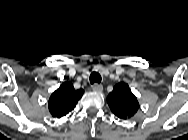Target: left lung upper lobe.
Returning <instances> with one entry per match:
<instances>
[{
	"label": "left lung upper lobe",
	"instance_id": "left-lung-upper-lobe-1",
	"mask_svg": "<svg viewBox=\"0 0 188 140\" xmlns=\"http://www.w3.org/2000/svg\"><path fill=\"white\" fill-rule=\"evenodd\" d=\"M107 102L112 112L121 119L131 118L139 109L137 98L126 83H118L108 95Z\"/></svg>",
	"mask_w": 188,
	"mask_h": 140
}]
</instances>
